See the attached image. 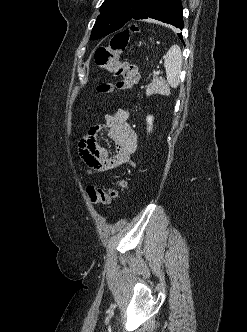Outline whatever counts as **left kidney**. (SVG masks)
Segmentation results:
<instances>
[{"label":"left kidney","instance_id":"5707ae66","mask_svg":"<svg viewBox=\"0 0 247 332\" xmlns=\"http://www.w3.org/2000/svg\"><path fill=\"white\" fill-rule=\"evenodd\" d=\"M147 123H148V131L150 132L152 130L153 125V116H147Z\"/></svg>","mask_w":247,"mask_h":332}]
</instances>
